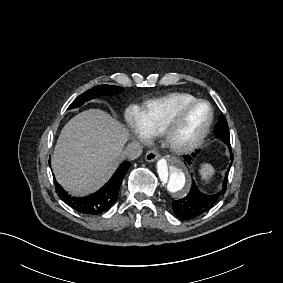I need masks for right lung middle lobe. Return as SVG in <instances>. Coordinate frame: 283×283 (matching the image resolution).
Instances as JSON below:
<instances>
[{"mask_svg": "<svg viewBox=\"0 0 283 283\" xmlns=\"http://www.w3.org/2000/svg\"><path fill=\"white\" fill-rule=\"evenodd\" d=\"M123 91V88L114 86V85H98L93 87L92 89L84 92L78 98H76L68 109L77 108L83 105L86 101L96 98L102 95H114Z\"/></svg>", "mask_w": 283, "mask_h": 283, "instance_id": "obj_1", "label": "right lung middle lobe"}]
</instances>
